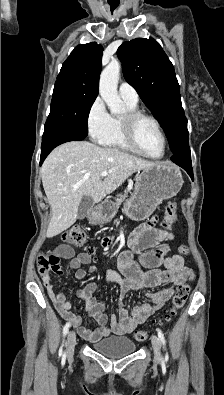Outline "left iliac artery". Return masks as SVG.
Listing matches in <instances>:
<instances>
[{
	"label": "left iliac artery",
	"mask_w": 224,
	"mask_h": 395,
	"mask_svg": "<svg viewBox=\"0 0 224 395\" xmlns=\"http://www.w3.org/2000/svg\"><path fill=\"white\" fill-rule=\"evenodd\" d=\"M157 333H158L159 339L161 340V342H162V344H163V348H164V350H165V349H166V348H165V345H166L165 337H164L162 331H161L159 328L157 329ZM165 360H167V354L165 355Z\"/></svg>",
	"instance_id": "left-iliac-artery-1"
}]
</instances>
